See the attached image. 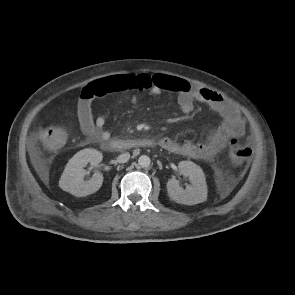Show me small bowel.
<instances>
[{"label": "small bowel", "mask_w": 295, "mask_h": 295, "mask_svg": "<svg viewBox=\"0 0 295 295\" xmlns=\"http://www.w3.org/2000/svg\"><path fill=\"white\" fill-rule=\"evenodd\" d=\"M131 91L130 103L137 106L143 95H155L164 91L177 94L180 109L189 114L196 102L208 105L217 112L221 124L202 142L186 140L177 142L169 137L159 141L160 146L172 153L196 159L211 160L228 141L242 136L245 123L234 105L227 102L220 94L207 88L191 85L188 81L164 74L113 75L88 83L82 90L77 105V114L81 132L99 142L109 140L111 134L105 128L106 117L96 119L92 115V102L97 97L113 92Z\"/></svg>", "instance_id": "obj_1"}]
</instances>
